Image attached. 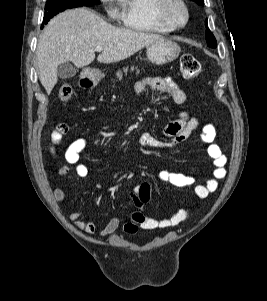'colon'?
Segmentation results:
<instances>
[{
  "instance_id": "colon-1",
  "label": "colon",
  "mask_w": 267,
  "mask_h": 301,
  "mask_svg": "<svg viewBox=\"0 0 267 301\" xmlns=\"http://www.w3.org/2000/svg\"><path fill=\"white\" fill-rule=\"evenodd\" d=\"M201 70L199 61L190 54H185L180 60V72L185 79L195 78ZM73 97V88L69 84L62 85L58 90V98L63 102H68ZM138 200L146 204L150 200L149 185L144 183L139 187Z\"/></svg>"
}]
</instances>
